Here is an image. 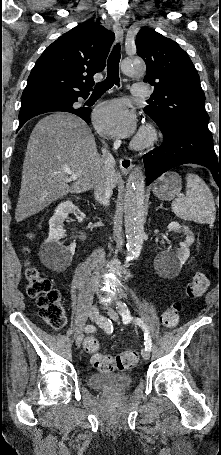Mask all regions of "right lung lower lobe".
Returning <instances> with one entry per match:
<instances>
[{
    "mask_svg": "<svg viewBox=\"0 0 221 455\" xmlns=\"http://www.w3.org/2000/svg\"><path fill=\"white\" fill-rule=\"evenodd\" d=\"M88 95H89V93L81 95V97H87ZM76 101H77V98H76ZM54 111H62V112L73 113V114L81 117L84 121H86V123L90 122L89 115L91 113V110H89V109H84V108L75 109L72 106H68V105H64V104H60V105H58V104H55V105H44V106H38V107L30 108V109H27V110H24V111H20V114H19V121H20L19 129L30 118H33V117H35L37 115H40V114H43V113L54 112Z\"/></svg>",
    "mask_w": 221,
    "mask_h": 455,
    "instance_id": "right-lung-lower-lobe-1",
    "label": "right lung lower lobe"
}]
</instances>
